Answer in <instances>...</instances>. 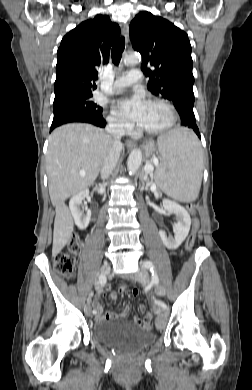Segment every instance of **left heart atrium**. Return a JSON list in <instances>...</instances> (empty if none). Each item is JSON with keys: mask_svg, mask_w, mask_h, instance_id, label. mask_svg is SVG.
<instances>
[{"mask_svg": "<svg viewBox=\"0 0 252 390\" xmlns=\"http://www.w3.org/2000/svg\"><path fill=\"white\" fill-rule=\"evenodd\" d=\"M147 104L148 103L144 100V97L137 93L131 97L120 99L117 102V108L121 115L135 123L140 124L143 119Z\"/></svg>", "mask_w": 252, "mask_h": 390, "instance_id": "1", "label": "left heart atrium"}]
</instances>
